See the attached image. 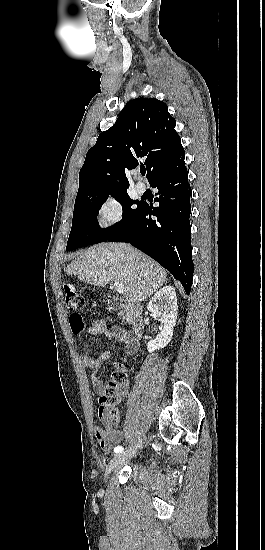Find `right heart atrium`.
Returning a JSON list of instances; mask_svg holds the SVG:
<instances>
[{"mask_svg":"<svg viewBox=\"0 0 265 550\" xmlns=\"http://www.w3.org/2000/svg\"><path fill=\"white\" fill-rule=\"evenodd\" d=\"M124 216V205L115 195L108 196L98 210L99 223L102 228L110 229L118 225Z\"/></svg>","mask_w":265,"mask_h":550,"instance_id":"obj_1","label":"right heart atrium"}]
</instances>
